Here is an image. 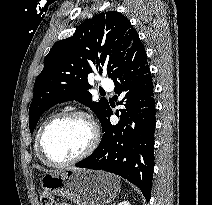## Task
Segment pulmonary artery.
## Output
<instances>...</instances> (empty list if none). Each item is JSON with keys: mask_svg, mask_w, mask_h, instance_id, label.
<instances>
[{"mask_svg": "<svg viewBox=\"0 0 212 205\" xmlns=\"http://www.w3.org/2000/svg\"><path fill=\"white\" fill-rule=\"evenodd\" d=\"M101 86L103 89L107 90V91H112L114 88V84L110 79H104L101 82Z\"/></svg>", "mask_w": 212, "mask_h": 205, "instance_id": "obj_1", "label": "pulmonary artery"}]
</instances>
